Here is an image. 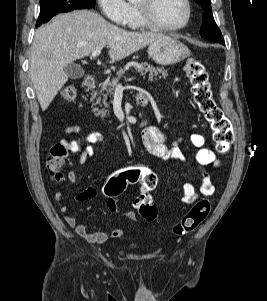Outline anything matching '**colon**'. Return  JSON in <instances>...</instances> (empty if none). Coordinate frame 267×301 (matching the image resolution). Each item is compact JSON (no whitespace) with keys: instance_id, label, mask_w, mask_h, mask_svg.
Returning a JSON list of instances; mask_svg holds the SVG:
<instances>
[{"instance_id":"colon-1","label":"colon","mask_w":267,"mask_h":301,"mask_svg":"<svg viewBox=\"0 0 267 301\" xmlns=\"http://www.w3.org/2000/svg\"><path fill=\"white\" fill-rule=\"evenodd\" d=\"M184 72L190 80L194 101L210 125L216 150L226 153L234 140L233 128L230 120L213 98L204 65L200 60L190 57L185 63ZM61 96L66 101H73L77 96L76 87L73 85L63 87ZM66 155V148L62 144H55L46 157V169L56 181L63 178L61 169ZM156 183V174L150 168L140 164H131L114 171L101 186L100 193L109 209L126 194L131 186L139 184L140 194L135 200L134 206L143 219L153 222L158 217V211L151 195ZM209 212L210 202L206 199L198 201L174 225L173 232L176 235H185L194 231L207 218Z\"/></svg>"}]
</instances>
